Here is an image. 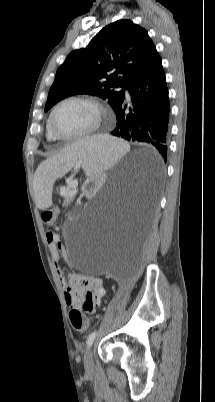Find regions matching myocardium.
Here are the masks:
<instances>
[{
  "label": "myocardium",
  "mask_w": 215,
  "mask_h": 402,
  "mask_svg": "<svg viewBox=\"0 0 215 402\" xmlns=\"http://www.w3.org/2000/svg\"><path fill=\"white\" fill-rule=\"evenodd\" d=\"M68 102H83V103H87V104H90L91 106H93V108L96 111V120H95L94 124L92 125V127H90L88 130H86L82 133L76 134V135H63L56 130V128L54 126L55 113L62 105H64L65 103H68ZM107 115H108V111H107L106 107L98 99H96L92 96H85V95L69 96V97H66V98H63L62 100H60L52 108L49 118H48V125H49V129H50L51 133L59 140H64V141L82 140V139H86V138L91 137L94 134H96L100 130Z\"/></svg>",
  "instance_id": "1"
}]
</instances>
